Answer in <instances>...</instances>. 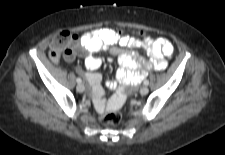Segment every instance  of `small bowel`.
<instances>
[{"instance_id":"small-bowel-1","label":"small bowel","mask_w":225,"mask_h":155,"mask_svg":"<svg viewBox=\"0 0 225 155\" xmlns=\"http://www.w3.org/2000/svg\"><path fill=\"white\" fill-rule=\"evenodd\" d=\"M140 46L145 50L149 57V62H144L136 51L121 48ZM107 49L112 57H116L119 63L117 71V81L109 83L115 89V96L105 101L104 92L101 87L102 77L95 72L102 64V59L94 53ZM70 54L65 56L67 61H72L74 54L84 56L85 66L89 72L84 73V77L93 88L94 104L98 112L103 113L107 110L110 113H117L123 110L126 105L128 86L139 83L150 69L164 70L167 67V59L173 54L172 43L164 37H147L138 41L128 35H118L110 28H100L85 32L81 35L74 34L70 41ZM82 73L81 69H77Z\"/></svg>"}]
</instances>
